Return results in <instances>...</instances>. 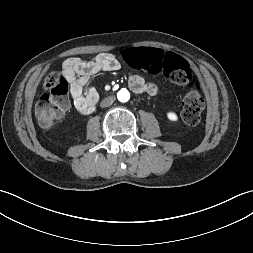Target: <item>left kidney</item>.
Instances as JSON below:
<instances>
[{
	"mask_svg": "<svg viewBox=\"0 0 253 253\" xmlns=\"http://www.w3.org/2000/svg\"><path fill=\"white\" fill-rule=\"evenodd\" d=\"M167 118L170 120V121H177L178 120V116L175 112H168L167 113Z\"/></svg>",
	"mask_w": 253,
	"mask_h": 253,
	"instance_id": "obj_1",
	"label": "left kidney"
}]
</instances>
